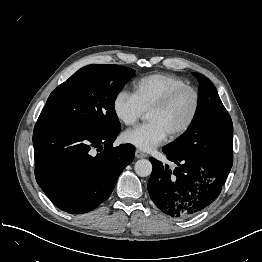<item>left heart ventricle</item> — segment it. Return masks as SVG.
<instances>
[{
  "label": "left heart ventricle",
  "instance_id": "1",
  "mask_svg": "<svg viewBox=\"0 0 262 262\" xmlns=\"http://www.w3.org/2000/svg\"><path fill=\"white\" fill-rule=\"evenodd\" d=\"M193 106L192 96L184 93L167 108L160 111H150L147 120L159 123L170 135L180 128L189 118Z\"/></svg>",
  "mask_w": 262,
  "mask_h": 262
}]
</instances>
